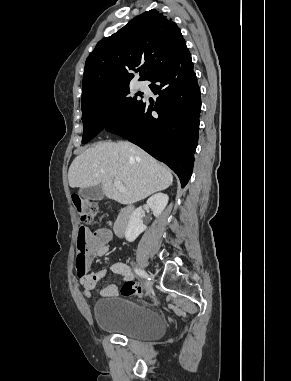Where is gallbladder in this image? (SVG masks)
Instances as JSON below:
<instances>
[{
    "mask_svg": "<svg viewBox=\"0 0 291 381\" xmlns=\"http://www.w3.org/2000/svg\"><path fill=\"white\" fill-rule=\"evenodd\" d=\"M79 194L87 199L100 200L104 196L102 185L81 188Z\"/></svg>",
    "mask_w": 291,
    "mask_h": 381,
    "instance_id": "1",
    "label": "gallbladder"
}]
</instances>
